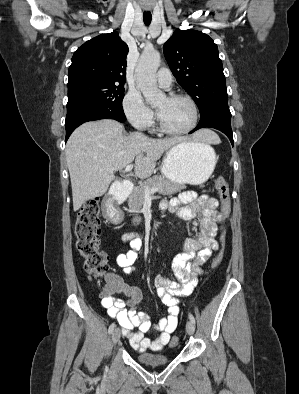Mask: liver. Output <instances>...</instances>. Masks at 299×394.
I'll list each match as a JSON object with an SVG mask.
<instances>
[{
	"mask_svg": "<svg viewBox=\"0 0 299 394\" xmlns=\"http://www.w3.org/2000/svg\"><path fill=\"white\" fill-rule=\"evenodd\" d=\"M183 137L153 139L142 133L125 135L121 123L102 119L82 124L67 141L65 154L69 169L73 209L77 211L89 199L104 195L114 180V172L135 160V174L140 178L152 175L156 162ZM194 141L218 144L219 137L210 130H200Z\"/></svg>",
	"mask_w": 299,
	"mask_h": 394,
	"instance_id": "liver-1",
	"label": "liver"
}]
</instances>
